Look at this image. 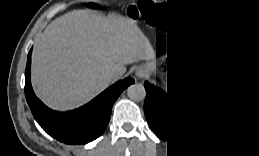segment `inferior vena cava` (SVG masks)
<instances>
[{
    "label": "inferior vena cava",
    "instance_id": "obj_1",
    "mask_svg": "<svg viewBox=\"0 0 259 156\" xmlns=\"http://www.w3.org/2000/svg\"><path fill=\"white\" fill-rule=\"evenodd\" d=\"M121 76V73L120 72H112L111 74H110V78L112 79V80H114V79H116V78H119Z\"/></svg>",
    "mask_w": 259,
    "mask_h": 156
}]
</instances>
